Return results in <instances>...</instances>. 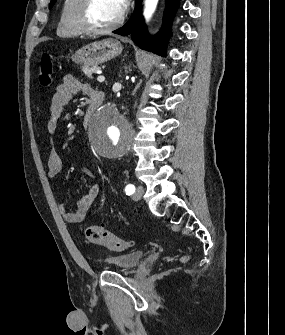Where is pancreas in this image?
Wrapping results in <instances>:
<instances>
[{
    "instance_id": "obj_1",
    "label": "pancreas",
    "mask_w": 285,
    "mask_h": 335,
    "mask_svg": "<svg viewBox=\"0 0 285 335\" xmlns=\"http://www.w3.org/2000/svg\"><path fill=\"white\" fill-rule=\"evenodd\" d=\"M95 70H101L100 66H82V72L86 74L88 81H95L96 76L93 73Z\"/></svg>"
}]
</instances>
